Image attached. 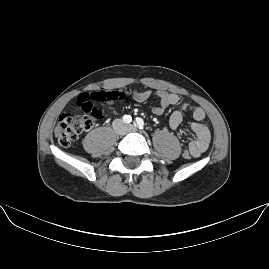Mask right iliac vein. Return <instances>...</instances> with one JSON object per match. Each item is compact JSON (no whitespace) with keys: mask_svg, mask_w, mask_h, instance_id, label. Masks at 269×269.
I'll use <instances>...</instances> for the list:
<instances>
[{"mask_svg":"<svg viewBox=\"0 0 269 269\" xmlns=\"http://www.w3.org/2000/svg\"><path fill=\"white\" fill-rule=\"evenodd\" d=\"M118 135H124V132L123 131H118L116 132Z\"/></svg>","mask_w":269,"mask_h":269,"instance_id":"1","label":"right iliac vein"}]
</instances>
